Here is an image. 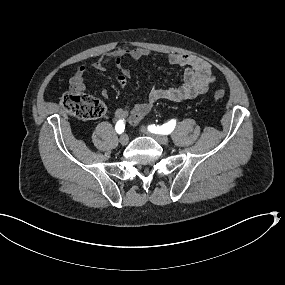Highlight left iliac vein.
<instances>
[{
  "label": "left iliac vein",
  "mask_w": 285,
  "mask_h": 285,
  "mask_svg": "<svg viewBox=\"0 0 285 285\" xmlns=\"http://www.w3.org/2000/svg\"><path fill=\"white\" fill-rule=\"evenodd\" d=\"M141 132H143V129H141ZM149 135L162 145H167L169 143V138L166 135H161V134H149Z\"/></svg>",
  "instance_id": "left-iliac-vein-1"
}]
</instances>
